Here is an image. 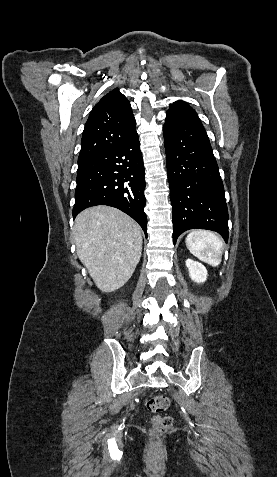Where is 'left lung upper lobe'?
Returning a JSON list of instances; mask_svg holds the SVG:
<instances>
[{
  "instance_id": "obj_1",
  "label": "left lung upper lobe",
  "mask_w": 277,
  "mask_h": 477,
  "mask_svg": "<svg viewBox=\"0 0 277 477\" xmlns=\"http://www.w3.org/2000/svg\"><path fill=\"white\" fill-rule=\"evenodd\" d=\"M168 122H193L202 124L195 110L184 101H176L167 111Z\"/></svg>"
}]
</instances>
